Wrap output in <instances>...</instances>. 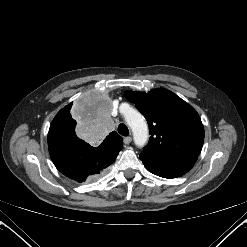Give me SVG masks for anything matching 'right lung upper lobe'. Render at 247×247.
Masks as SVG:
<instances>
[{"label":"right lung upper lobe","instance_id":"1","mask_svg":"<svg viewBox=\"0 0 247 247\" xmlns=\"http://www.w3.org/2000/svg\"><path fill=\"white\" fill-rule=\"evenodd\" d=\"M72 106V103L68 104L64 109H61L58 114L55 116L51 123V127H57L58 120L66 116ZM102 145H107L112 149H122V138L114 131L111 132L105 140L102 142Z\"/></svg>","mask_w":247,"mask_h":247}]
</instances>
